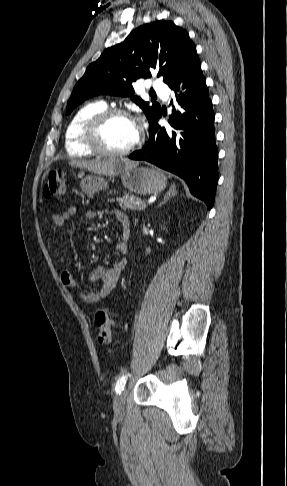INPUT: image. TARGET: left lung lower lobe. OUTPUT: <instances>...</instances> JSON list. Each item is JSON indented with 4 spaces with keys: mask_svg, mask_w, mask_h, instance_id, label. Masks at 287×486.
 <instances>
[{
    "mask_svg": "<svg viewBox=\"0 0 287 486\" xmlns=\"http://www.w3.org/2000/svg\"><path fill=\"white\" fill-rule=\"evenodd\" d=\"M179 77L184 82L182 88H186L183 98L177 94L179 83L176 79L168 86L176 93L185 112L181 114L173 109L169 117L171 131L158 124L161 112L150 125L148 142L129 158L147 161L177 174L186 181L191 193L210 209L219 178L218 150L212 102L199 58H195Z\"/></svg>",
    "mask_w": 287,
    "mask_h": 486,
    "instance_id": "0a47b994",
    "label": "left lung lower lobe"
}]
</instances>
